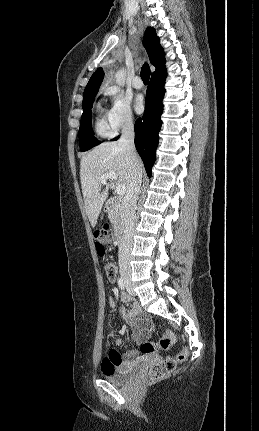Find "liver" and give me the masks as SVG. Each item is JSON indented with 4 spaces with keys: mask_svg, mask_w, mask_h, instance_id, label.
I'll return each instance as SVG.
<instances>
[{
    "mask_svg": "<svg viewBox=\"0 0 259 431\" xmlns=\"http://www.w3.org/2000/svg\"><path fill=\"white\" fill-rule=\"evenodd\" d=\"M139 166L142 171L141 161ZM107 172H115L119 185H124L128 191L131 175L119 142H105L98 145L85 154L80 162V179L85 209L93 228L97 224L102 206L108 197L110 183L100 181V177ZM102 185L105 186V189L101 192Z\"/></svg>",
    "mask_w": 259,
    "mask_h": 431,
    "instance_id": "liver-1",
    "label": "liver"
}]
</instances>
